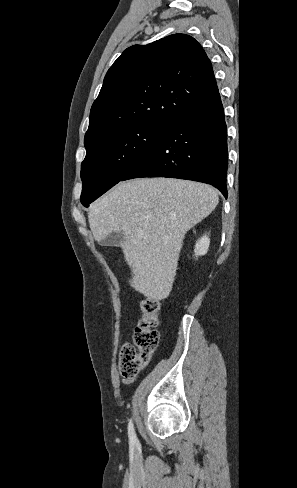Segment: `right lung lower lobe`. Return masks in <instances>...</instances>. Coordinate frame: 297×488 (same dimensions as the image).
Here are the masks:
<instances>
[{"label":"right lung lower lobe","instance_id":"98d812e1","mask_svg":"<svg viewBox=\"0 0 297 488\" xmlns=\"http://www.w3.org/2000/svg\"><path fill=\"white\" fill-rule=\"evenodd\" d=\"M227 128L220 95L182 115L121 180L169 177L208 183L227 198Z\"/></svg>","mask_w":297,"mask_h":488}]
</instances>
